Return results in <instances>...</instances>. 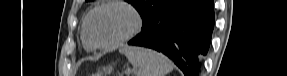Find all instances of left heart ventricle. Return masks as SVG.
<instances>
[{
	"label": "left heart ventricle",
	"instance_id": "1",
	"mask_svg": "<svg viewBox=\"0 0 287 76\" xmlns=\"http://www.w3.org/2000/svg\"><path fill=\"white\" fill-rule=\"evenodd\" d=\"M132 24L133 18L128 11L120 7H108L92 16L89 30L95 42L106 44L126 33Z\"/></svg>",
	"mask_w": 287,
	"mask_h": 76
}]
</instances>
